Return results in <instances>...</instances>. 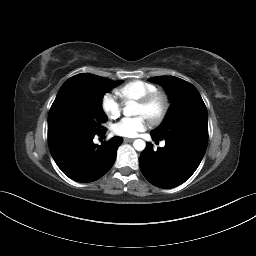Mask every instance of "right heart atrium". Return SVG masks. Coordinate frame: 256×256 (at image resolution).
Returning a JSON list of instances; mask_svg holds the SVG:
<instances>
[{"label": "right heart atrium", "mask_w": 256, "mask_h": 256, "mask_svg": "<svg viewBox=\"0 0 256 256\" xmlns=\"http://www.w3.org/2000/svg\"><path fill=\"white\" fill-rule=\"evenodd\" d=\"M101 108L110 119H117L121 115L122 106L111 94L103 95L101 99Z\"/></svg>", "instance_id": "d8ad5b80"}]
</instances>
